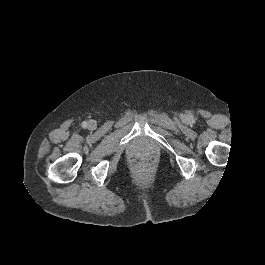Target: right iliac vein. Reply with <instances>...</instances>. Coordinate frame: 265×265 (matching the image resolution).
I'll return each instance as SVG.
<instances>
[{
    "instance_id": "1",
    "label": "right iliac vein",
    "mask_w": 265,
    "mask_h": 265,
    "mask_svg": "<svg viewBox=\"0 0 265 265\" xmlns=\"http://www.w3.org/2000/svg\"><path fill=\"white\" fill-rule=\"evenodd\" d=\"M95 126V121L94 120H90L88 122V128L92 129Z\"/></svg>"
}]
</instances>
